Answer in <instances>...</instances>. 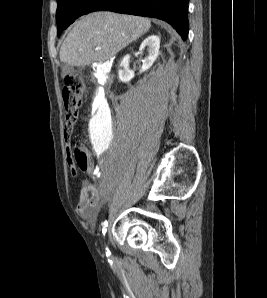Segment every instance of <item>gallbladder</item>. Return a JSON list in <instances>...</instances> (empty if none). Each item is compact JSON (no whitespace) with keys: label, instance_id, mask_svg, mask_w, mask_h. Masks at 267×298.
<instances>
[{"label":"gallbladder","instance_id":"obj_1","mask_svg":"<svg viewBox=\"0 0 267 298\" xmlns=\"http://www.w3.org/2000/svg\"><path fill=\"white\" fill-rule=\"evenodd\" d=\"M72 71H73V67H72V66H65V67L63 68V73H64V74L70 73V72H72Z\"/></svg>","mask_w":267,"mask_h":298}]
</instances>
